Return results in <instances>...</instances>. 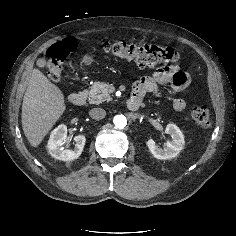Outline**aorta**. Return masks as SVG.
<instances>
[{"label": "aorta", "instance_id": "762f6f07", "mask_svg": "<svg viewBox=\"0 0 236 236\" xmlns=\"http://www.w3.org/2000/svg\"><path fill=\"white\" fill-rule=\"evenodd\" d=\"M113 122L115 127L119 129H123L127 124V120L124 115H116L113 119Z\"/></svg>", "mask_w": 236, "mask_h": 236}]
</instances>
